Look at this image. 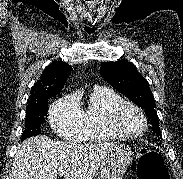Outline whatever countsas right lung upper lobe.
I'll use <instances>...</instances> for the list:
<instances>
[{"label":"right lung upper lobe","instance_id":"1","mask_svg":"<svg viewBox=\"0 0 183 179\" xmlns=\"http://www.w3.org/2000/svg\"><path fill=\"white\" fill-rule=\"evenodd\" d=\"M71 70V66L62 61H56L47 66L32 87L27 106L41 103L57 95L62 90Z\"/></svg>","mask_w":183,"mask_h":179}]
</instances>
